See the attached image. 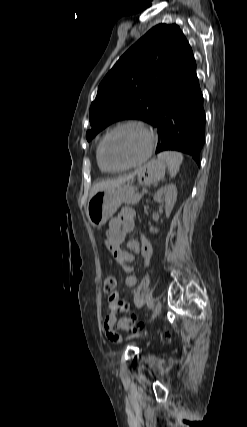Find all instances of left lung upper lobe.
<instances>
[{"label": "left lung upper lobe", "instance_id": "1", "mask_svg": "<svg viewBox=\"0 0 247 427\" xmlns=\"http://www.w3.org/2000/svg\"><path fill=\"white\" fill-rule=\"evenodd\" d=\"M196 71L192 49L176 24L149 30L117 61L98 87L89 110L90 141L121 119L154 124L166 98Z\"/></svg>", "mask_w": 247, "mask_h": 427}]
</instances>
